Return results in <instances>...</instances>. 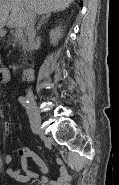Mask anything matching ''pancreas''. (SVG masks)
Wrapping results in <instances>:
<instances>
[{
	"label": "pancreas",
	"mask_w": 119,
	"mask_h": 185,
	"mask_svg": "<svg viewBox=\"0 0 119 185\" xmlns=\"http://www.w3.org/2000/svg\"><path fill=\"white\" fill-rule=\"evenodd\" d=\"M8 42L13 47L21 46L24 51V54H26V51L28 49V45H27L25 36L23 34H21L19 37H17L15 34H13L12 37H10L8 39Z\"/></svg>",
	"instance_id": "obj_1"
}]
</instances>
